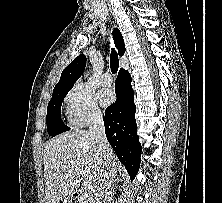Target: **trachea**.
<instances>
[{
	"label": "trachea",
	"mask_w": 222,
	"mask_h": 203,
	"mask_svg": "<svg viewBox=\"0 0 222 203\" xmlns=\"http://www.w3.org/2000/svg\"><path fill=\"white\" fill-rule=\"evenodd\" d=\"M118 67H119L118 55H117L115 50H112L111 51V55H110V68H111V72L113 74L117 73Z\"/></svg>",
	"instance_id": "1"
}]
</instances>
